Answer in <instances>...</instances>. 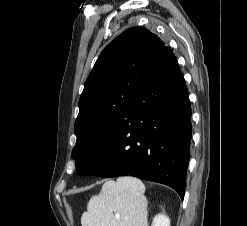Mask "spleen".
<instances>
[{
    "instance_id": "spleen-1",
    "label": "spleen",
    "mask_w": 247,
    "mask_h": 226,
    "mask_svg": "<svg viewBox=\"0 0 247 226\" xmlns=\"http://www.w3.org/2000/svg\"><path fill=\"white\" fill-rule=\"evenodd\" d=\"M144 193L145 185L135 177L106 181L99 195L89 200L87 212L81 217L82 226H147Z\"/></svg>"
}]
</instances>
